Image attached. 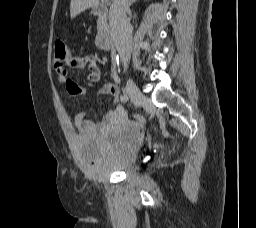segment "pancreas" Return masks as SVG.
<instances>
[{"mask_svg":"<svg viewBox=\"0 0 256 228\" xmlns=\"http://www.w3.org/2000/svg\"><path fill=\"white\" fill-rule=\"evenodd\" d=\"M98 23V29L100 30L101 28L103 27H107V24H106V16H103V17H100L97 21Z\"/></svg>","mask_w":256,"mask_h":228,"instance_id":"cf45deb5","label":"pancreas"}]
</instances>
